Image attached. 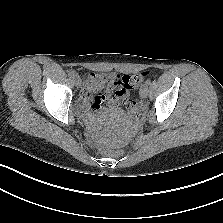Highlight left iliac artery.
I'll list each match as a JSON object with an SVG mask.
<instances>
[{
  "instance_id": "1",
  "label": "left iliac artery",
  "mask_w": 223,
  "mask_h": 223,
  "mask_svg": "<svg viewBox=\"0 0 223 223\" xmlns=\"http://www.w3.org/2000/svg\"><path fill=\"white\" fill-rule=\"evenodd\" d=\"M149 84H150V81L147 80V81L145 82V85L148 86Z\"/></svg>"
}]
</instances>
